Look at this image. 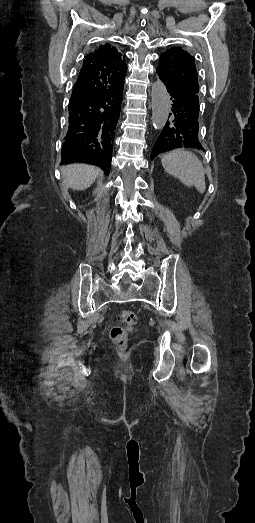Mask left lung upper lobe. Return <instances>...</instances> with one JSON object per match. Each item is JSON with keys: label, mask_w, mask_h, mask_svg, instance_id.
I'll use <instances>...</instances> for the list:
<instances>
[{"label": "left lung upper lobe", "mask_w": 255, "mask_h": 523, "mask_svg": "<svg viewBox=\"0 0 255 523\" xmlns=\"http://www.w3.org/2000/svg\"><path fill=\"white\" fill-rule=\"evenodd\" d=\"M159 60L160 65L156 70L159 77H163V81L167 80L169 85L175 86L178 92H183L185 94L184 98H188L190 102L198 107L199 115V100L197 95L199 93V85L195 58L181 47H176L163 53ZM173 98H175V95L171 96L170 99ZM170 148L174 149L178 147ZM201 149L203 150V147ZM158 154L159 153H157V155Z\"/></svg>", "instance_id": "1"}]
</instances>
